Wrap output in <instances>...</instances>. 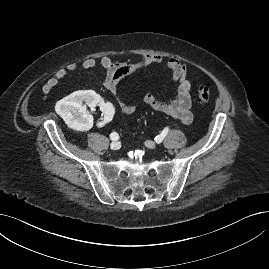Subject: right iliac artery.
Wrapping results in <instances>:
<instances>
[{
    "mask_svg": "<svg viewBox=\"0 0 269 269\" xmlns=\"http://www.w3.org/2000/svg\"><path fill=\"white\" fill-rule=\"evenodd\" d=\"M110 139H111V140H114V141H117V140L119 139V135H118V133H116V132H112V133L110 134Z\"/></svg>",
    "mask_w": 269,
    "mask_h": 269,
    "instance_id": "obj_1",
    "label": "right iliac artery"
}]
</instances>
